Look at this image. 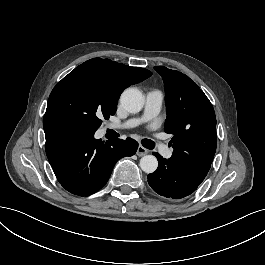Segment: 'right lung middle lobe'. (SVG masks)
I'll use <instances>...</instances> for the list:
<instances>
[{
  "label": "right lung middle lobe",
  "mask_w": 265,
  "mask_h": 265,
  "mask_svg": "<svg viewBox=\"0 0 265 265\" xmlns=\"http://www.w3.org/2000/svg\"><path fill=\"white\" fill-rule=\"evenodd\" d=\"M119 96L104 72L83 63L52 90L44 122L59 121L95 133L101 118L115 114Z\"/></svg>",
  "instance_id": "right-lung-middle-lobe-1"
}]
</instances>
